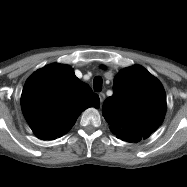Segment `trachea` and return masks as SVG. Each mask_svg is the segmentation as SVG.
Here are the masks:
<instances>
[{"label": "trachea", "instance_id": "trachea-1", "mask_svg": "<svg viewBox=\"0 0 187 187\" xmlns=\"http://www.w3.org/2000/svg\"><path fill=\"white\" fill-rule=\"evenodd\" d=\"M94 91L100 92L102 91V78L100 76H96L93 80Z\"/></svg>", "mask_w": 187, "mask_h": 187}]
</instances>
